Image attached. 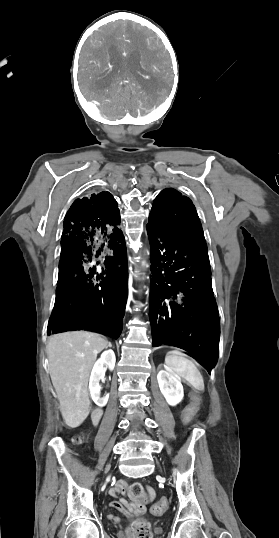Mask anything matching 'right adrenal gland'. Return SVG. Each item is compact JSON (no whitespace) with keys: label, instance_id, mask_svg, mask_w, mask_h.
I'll list each match as a JSON object with an SVG mask.
<instances>
[{"label":"right adrenal gland","instance_id":"2a0ac1e0","mask_svg":"<svg viewBox=\"0 0 279 538\" xmlns=\"http://www.w3.org/2000/svg\"><path fill=\"white\" fill-rule=\"evenodd\" d=\"M109 348H112V346H111V342H109Z\"/></svg>","mask_w":279,"mask_h":538}]
</instances>
